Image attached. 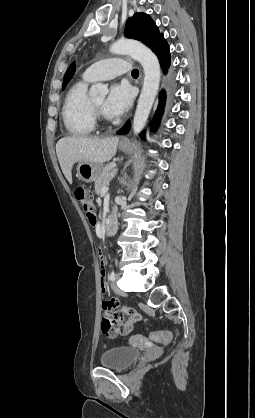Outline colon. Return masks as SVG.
I'll return each instance as SVG.
<instances>
[{"mask_svg":"<svg viewBox=\"0 0 255 418\" xmlns=\"http://www.w3.org/2000/svg\"><path fill=\"white\" fill-rule=\"evenodd\" d=\"M75 198L84 210L89 222L95 225V208L89 190L84 185L77 186L75 189ZM150 337L152 340L163 344H168L171 341V334L168 331L151 333Z\"/></svg>","mask_w":255,"mask_h":418,"instance_id":"obj_1","label":"colon"}]
</instances>
